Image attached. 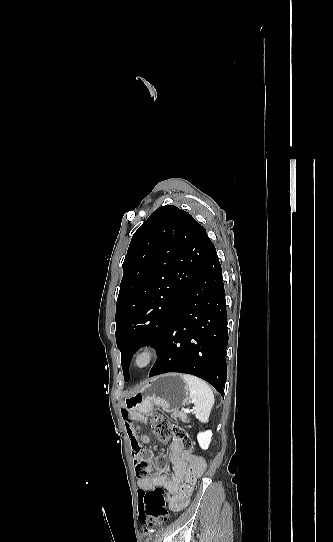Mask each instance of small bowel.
Instances as JSON below:
<instances>
[{
    "instance_id": "c3829d8e",
    "label": "small bowel",
    "mask_w": 333,
    "mask_h": 542,
    "mask_svg": "<svg viewBox=\"0 0 333 542\" xmlns=\"http://www.w3.org/2000/svg\"><path fill=\"white\" fill-rule=\"evenodd\" d=\"M134 411L132 409H123L121 418L125 422L126 432L132 448V458L149 463L154 455L151 452H142V445L150 443V437L141 433L138 436L140 428L134 426ZM140 447V449H139ZM158 461L164 460L163 454L157 455ZM170 463L173 474H162L157 470L153 475L139 480V486L142 489H152L163 487L167 494V504L172 511H181L189 503L192 496V488L206 471V461L197 455L184 449L180 440L174 439L170 445ZM188 487V489H186Z\"/></svg>"
}]
</instances>
